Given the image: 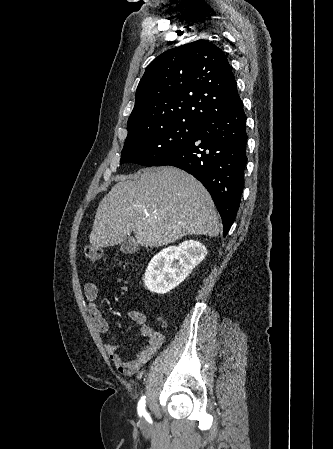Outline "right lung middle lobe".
Returning a JSON list of instances; mask_svg holds the SVG:
<instances>
[{"label": "right lung middle lobe", "mask_w": 333, "mask_h": 449, "mask_svg": "<svg viewBox=\"0 0 333 449\" xmlns=\"http://www.w3.org/2000/svg\"><path fill=\"white\" fill-rule=\"evenodd\" d=\"M199 126V123L176 121L126 139L121 152V164L131 162L155 166L190 139Z\"/></svg>", "instance_id": "obj_1"}]
</instances>
